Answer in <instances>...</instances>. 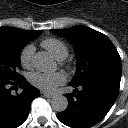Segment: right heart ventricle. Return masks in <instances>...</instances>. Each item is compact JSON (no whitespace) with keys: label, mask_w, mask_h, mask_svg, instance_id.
I'll return each mask as SVG.
<instances>
[{"label":"right heart ventricle","mask_w":128,"mask_h":128,"mask_svg":"<svg viewBox=\"0 0 128 128\" xmlns=\"http://www.w3.org/2000/svg\"><path fill=\"white\" fill-rule=\"evenodd\" d=\"M42 47L45 48L57 60H63L68 55L67 45L60 39L47 38L42 41Z\"/></svg>","instance_id":"right-heart-ventricle-1"}]
</instances>
